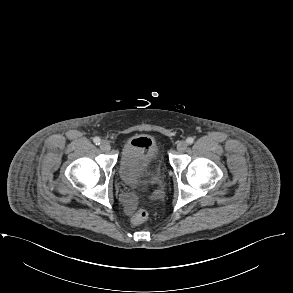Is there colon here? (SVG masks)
Here are the masks:
<instances>
[{"instance_id":"1","label":"colon","mask_w":293,"mask_h":293,"mask_svg":"<svg viewBox=\"0 0 293 293\" xmlns=\"http://www.w3.org/2000/svg\"><path fill=\"white\" fill-rule=\"evenodd\" d=\"M148 218V212L145 209H138L131 218V222L134 225H140Z\"/></svg>"}]
</instances>
